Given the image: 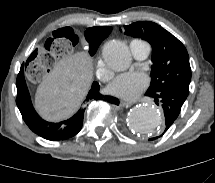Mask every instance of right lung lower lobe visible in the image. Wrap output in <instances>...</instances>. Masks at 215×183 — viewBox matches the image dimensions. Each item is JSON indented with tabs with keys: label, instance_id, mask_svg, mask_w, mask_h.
Instances as JSON below:
<instances>
[{
	"label": "right lung lower lobe",
	"instance_id": "1",
	"mask_svg": "<svg viewBox=\"0 0 215 183\" xmlns=\"http://www.w3.org/2000/svg\"><path fill=\"white\" fill-rule=\"evenodd\" d=\"M17 98L16 103L22 114V117L28 127L37 135L44 139L57 141L65 140L76 135L82 128L84 113L88 104L93 100H103L118 105L119 100L112 96H104L100 93V86L93 82L88 95L80 109L70 119L60 123H50L43 120L34 110L28 88L24 79L23 66L16 80Z\"/></svg>",
	"mask_w": 215,
	"mask_h": 183
}]
</instances>
